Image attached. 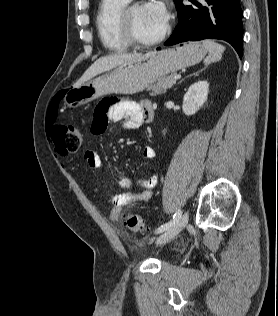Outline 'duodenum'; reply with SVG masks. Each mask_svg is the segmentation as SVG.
I'll use <instances>...</instances> for the list:
<instances>
[{
	"label": "duodenum",
	"instance_id": "1",
	"mask_svg": "<svg viewBox=\"0 0 278 316\" xmlns=\"http://www.w3.org/2000/svg\"><path fill=\"white\" fill-rule=\"evenodd\" d=\"M153 118V111H152V109L151 110H149L148 112H147V114H146V119L147 120H151Z\"/></svg>",
	"mask_w": 278,
	"mask_h": 316
}]
</instances>
